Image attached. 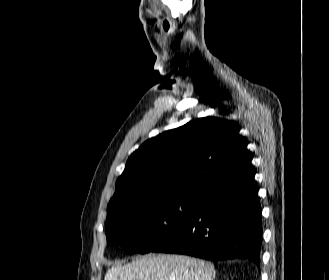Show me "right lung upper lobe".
Returning <instances> with one entry per match:
<instances>
[{"label":"right lung upper lobe","mask_w":329,"mask_h":280,"mask_svg":"<svg viewBox=\"0 0 329 280\" xmlns=\"http://www.w3.org/2000/svg\"><path fill=\"white\" fill-rule=\"evenodd\" d=\"M252 159L232 121L203 117L144 142L128 159L109 206L146 197H201Z\"/></svg>","instance_id":"right-lung-upper-lobe-1"}]
</instances>
